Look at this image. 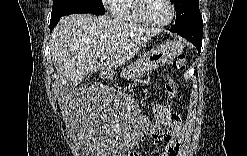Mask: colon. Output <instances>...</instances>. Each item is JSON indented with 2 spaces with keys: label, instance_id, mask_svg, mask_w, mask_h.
Instances as JSON below:
<instances>
[{
  "label": "colon",
  "instance_id": "5ec220e1",
  "mask_svg": "<svg viewBox=\"0 0 247 156\" xmlns=\"http://www.w3.org/2000/svg\"><path fill=\"white\" fill-rule=\"evenodd\" d=\"M186 65V56L181 54L173 60L172 69L176 72H182L185 70ZM165 91L167 96L165 103H172V99L177 95V85L171 77H168L165 82ZM149 111L151 113L147 120L150 127L144 131V134L148 139H154L159 135L160 130H163V125L161 124L164 123L165 118H168V113L166 112H172V107H169V104H158V107H150Z\"/></svg>",
  "mask_w": 247,
  "mask_h": 156
}]
</instances>
